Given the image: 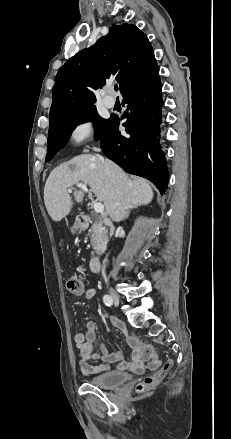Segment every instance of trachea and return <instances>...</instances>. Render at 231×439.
I'll use <instances>...</instances> for the list:
<instances>
[{
  "label": "trachea",
  "instance_id": "1",
  "mask_svg": "<svg viewBox=\"0 0 231 439\" xmlns=\"http://www.w3.org/2000/svg\"><path fill=\"white\" fill-rule=\"evenodd\" d=\"M115 91H118V85L114 86Z\"/></svg>",
  "mask_w": 231,
  "mask_h": 439
}]
</instances>
